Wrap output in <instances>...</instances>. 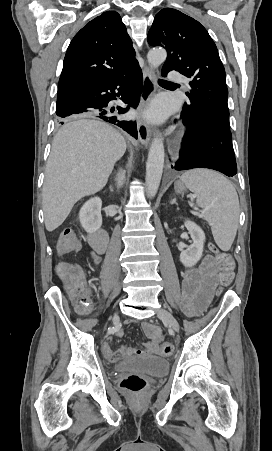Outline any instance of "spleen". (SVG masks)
Here are the masks:
<instances>
[{
  "instance_id": "1",
  "label": "spleen",
  "mask_w": 272,
  "mask_h": 451,
  "mask_svg": "<svg viewBox=\"0 0 272 451\" xmlns=\"http://www.w3.org/2000/svg\"><path fill=\"white\" fill-rule=\"evenodd\" d=\"M180 180L194 192L218 247L228 251L235 239L240 212L237 192L230 180L205 168L189 170Z\"/></svg>"
}]
</instances>
